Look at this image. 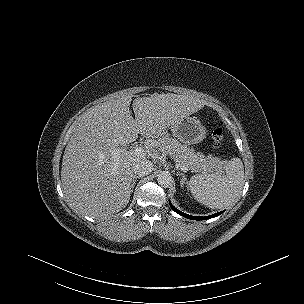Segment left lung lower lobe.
<instances>
[{"label": "left lung lower lobe", "mask_w": 304, "mask_h": 304, "mask_svg": "<svg viewBox=\"0 0 304 304\" xmlns=\"http://www.w3.org/2000/svg\"><path fill=\"white\" fill-rule=\"evenodd\" d=\"M169 204H170V207H171L176 213L180 214V215L183 216V217H186V218H188V219H191V220H205V219H210V218L219 216L220 214L223 213V211H222V212L213 214V215H211V216L196 217V216L187 215V214H185V213L179 211V210L176 209L170 202H169Z\"/></svg>", "instance_id": "left-lung-lower-lobe-1"}]
</instances>
